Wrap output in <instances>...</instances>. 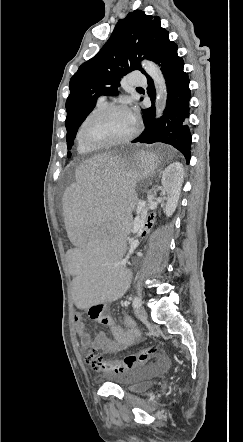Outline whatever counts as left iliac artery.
<instances>
[{
	"instance_id": "1",
	"label": "left iliac artery",
	"mask_w": 243,
	"mask_h": 442,
	"mask_svg": "<svg viewBox=\"0 0 243 442\" xmlns=\"http://www.w3.org/2000/svg\"><path fill=\"white\" fill-rule=\"evenodd\" d=\"M141 304H142L141 298L136 295L133 299V303H132L133 307L137 308V307L141 306Z\"/></svg>"
}]
</instances>
